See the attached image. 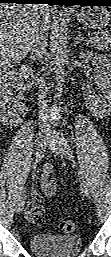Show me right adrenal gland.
Returning a JSON list of instances; mask_svg holds the SVG:
<instances>
[{
	"label": "right adrenal gland",
	"mask_w": 111,
	"mask_h": 257,
	"mask_svg": "<svg viewBox=\"0 0 111 257\" xmlns=\"http://www.w3.org/2000/svg\"><path fill=\"white\" fill-rule=\"evenodd\" d=\"M29 59L31 60L32 63L35 61L33 55L29 56Z\"/></svg>",
	"instance_id": "2a0ac1e0"
}]
</instances>
